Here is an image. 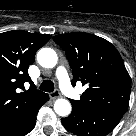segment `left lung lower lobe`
<instances>
[{"instance_id": "obj_1", "label": "left lung lower lobe", "mask_w": 136, "mask_h": 136, "mask_svg": "<svg viewBox=\"0 0 136 136\" xmlns=\"http://www.w3.org/2000/svg\"><path fill=\"white\" fill-rule=\"evenodd\" d=\"M122 116L73 106L72 113L62 118L64 127L77 136H103L110 133Z\"/></svg>"}]
</instances>
